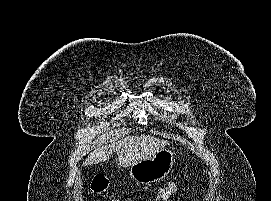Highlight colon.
Instances as JSON below:
<instances>
[{
  "label": "colon",
  "instance_id": "colon-1",
  "mask_svg": "<svg viewBox=\"0 0 271 201\" xmlns=\"http://www.w3.org/2000/svg\"><path fill=\"white\" fill-rule=\"evenodd\" d=\"M108 187V182L105 178H96L93 180L91 190L95 194L103 193ZM177 184L174 182L169 183L166 187L162 188L154 201H169L170 197L177 192ZM116 201V200H111Z\"/></svg>",
  "mask_w": 271,
  "mask_h": 201
}]
</instances>
